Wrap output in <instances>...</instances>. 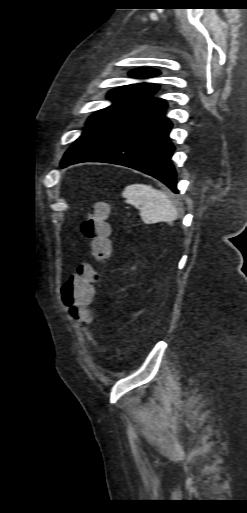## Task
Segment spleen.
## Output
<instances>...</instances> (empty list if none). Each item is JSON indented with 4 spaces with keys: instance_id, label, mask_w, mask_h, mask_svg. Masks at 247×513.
Here are the masks:
<instances>
[{
    "instance_id": "3e777b00",
    "label": "spleen",
    "mask_w": 247,
    "mask_h": 513,
    "mask_svg": "<svg viewBox=\"0 0 247 513\" xmlns=\"http://www.w3.org/2000/svg\"><path fill=\"white\" fill-rule=\"evenodd\" d=\"M122 197L126 202L140 210L141 218L146 223L172 221L177 217V210L169 197L147 184L127 185Z\"/></svg>"
}]
</instances>
